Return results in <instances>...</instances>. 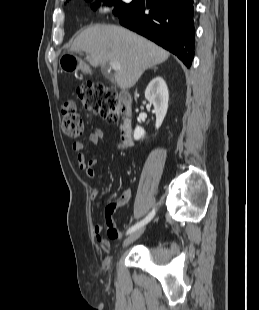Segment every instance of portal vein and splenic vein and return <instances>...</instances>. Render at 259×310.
<instances>
[{
    "label": "portal vein and splenic vein",
    "instance_id": "portal-vein-and-splenic-vein-1",
    "mask_svg": "<svg viewBox=\"0 0 259 310\" xmlns=\"http://www.w3.org/2000/svg\"><path fill=\"white\" fill-rule=\"evenodd\" d=\"M121 67L120 63L118 61H111L110 62V68L117 71Z\"/></svg>",
    "mask_w": 259,
    "mask_h": 310
}]
</instances>
